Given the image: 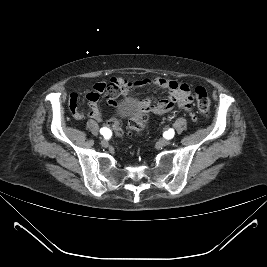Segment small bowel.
Wrapping results in <instances>:
<instances>
[{
    "label": "small bowel",
    "instance_id": "obj_1",
    "mask_svg": "<svg viewBox=\"0 0 267 267\" xmlns=\"http://www.w3.org/2000/svg\"><path fill=\"white\" fill-rule=\"evenodd\" d=\"M144 87H158L167 91L163 98H152L137 101L139 106L147 113L162 115L171 111L175 106L185 110L193 121L196 116L191 109L193 100L191 89L188 84L174 80L153 77L142 80L126 78H112L110 83L98 82L92 85L91 91L86 95L88 101L87 114L95 120H100L101 115L97 107L100 94H105L107 104L114 106L115 98L119 95L129 98V95L136 89ZM69 105L75 118L81 119L83 113L78 108V95L72 93L69 98Z\"/></svg>",
    "mask_w": 267,
    "mask_h": 267
}]
</instances>
